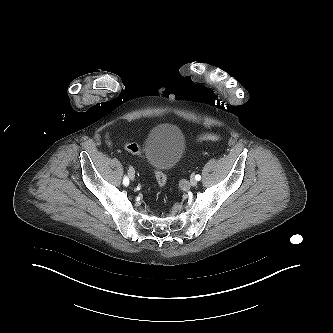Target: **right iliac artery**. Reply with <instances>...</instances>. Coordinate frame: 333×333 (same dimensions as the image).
Segmentation results:
<instances>
[{"label": "right iliac artery", "mask_w": 333, "mask_h": 333, "mask_svg": "<svg viewBox=\"0 0 333 333\" xmlns=\"http://www.w3.org/2000/svg\"><path fill=\"white\" fill-rule=\"evenodd\" d=\"M123 184H124L125 186H128V185H129V179H128L127 176L124 177V179H123Z\"/></svg>", "instance_id": "1"}]
</instances>
